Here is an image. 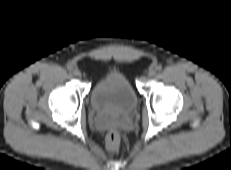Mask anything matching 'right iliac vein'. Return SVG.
<instances>
[{
    "mask_svg": "<svg viewBox=\"0 0 231 170\" xmlns=\"http://www.w3.org/2000/svg\"><path fill=\"white\" fill-rule=\"evenodd\" d=\"M73 74L75 75V76H77V77H81V71L78 69V68H75L74 70H73Z\"/></svg>",
    "mask_w": 231,
    "mask_h": 170,
    "instance_id": "63e3f726",
    "label": "right iliac vein"
}]
</instances>
